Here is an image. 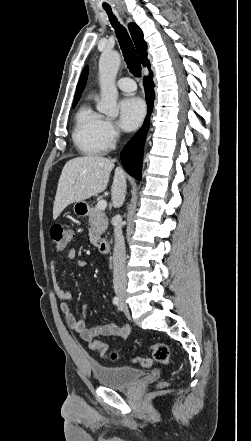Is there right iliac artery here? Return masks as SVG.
<instances>
[{"instance_id":"82829eb1","label":"right iliac artery","mask_w":251,"mask_h":441,"mask_svg":"<svg viewBox=\"0 0 251 441\" xmlns=\"http://www.w3.org/2000/svg\"><path fill=\"white\" fill-rule=\"evenodd\" d=\"M113 304L116 305V306L119 304V298L118 297L115 296L113 298Z\"/></svg>"}]
</instances>
